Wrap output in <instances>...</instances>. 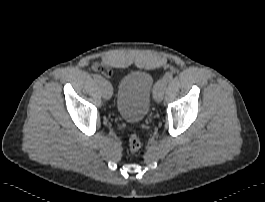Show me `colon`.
<instances>
[{"instance_id":"5ec220e1","label":"colon","mask_w":265,"mask_h":202,"mask_svg":"<svg viewBox=\"0 0 265 202\" xmlns=\"http://www.w3.org/2000/svg\"><path fill=\"white\" fill-rule=\"evenodd\" d=\"M129 148L132 152H137L141 148V141L137 135H132L129 139Z\"/></svg>"}]
</instances>
